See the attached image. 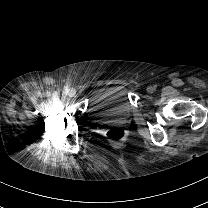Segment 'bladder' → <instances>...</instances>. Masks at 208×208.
Returning a JSON list of instances; mask_svg holds the SVG:
<instances>
[{
  "label": "bladder",
  "instance_id": "bladder-1",
  "mask_svg": "<svg viewBox=\"0 0 208 208\" xmlns=\"http://www.w3.org/2000/svg\"><path fill=\"white\" fill-rule=\"evenodd\" d=\"M121 87L112 85L98 91L91 106L93 114L126 115L127 111L124 108L125 99L121 93Z\"/></svg>",
  "mask_w": 208,
  "mask_h": 208
}]
</instances>
